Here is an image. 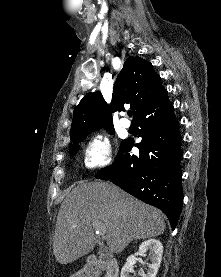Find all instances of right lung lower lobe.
<instances>
[{
	"instance_id": "98d812e1",
	"label": "right lung lower lobe",
	"mask_w": 221,
	"mask_h": 277,
	"mask_svg": "<svg viewBox=\"0 0 221 277\" xmlns=\"http://www.w3.org/2000/svg\"><path fill=\"white\" fill-rule=\"evenodd\" d=\"M173 105L165 90L134 118L140 126L142 141L135 146L138 156L131 155L134 141L125 139L109 167L96 178L111 180L136 198L161 209L174 230L182 208L181 135Z\"/></svg>"
}]
</instances>
